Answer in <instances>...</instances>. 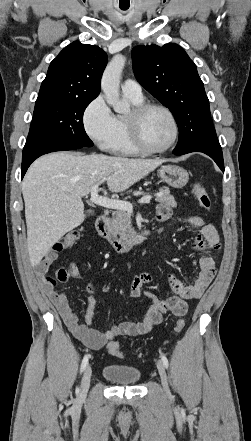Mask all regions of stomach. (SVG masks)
Listing matches in <instances>:
<instances>
[{
    "instance_id": "obj_1",
    "label": "stomach",
    "mask_w": 251,
    "mask_h": 441,
    "mask_svg": "<svg viewBox=\"0 0 251 441\" xmlns=\"http://www.w3.org/2000/svg\"><path fill=\"white\" fill-rule=\"evenodd\" d=\"M158 173L160 178L173 188H182L189 180L188 172L177 165L162 166Z\"/></svg>"
}]
</instances>
